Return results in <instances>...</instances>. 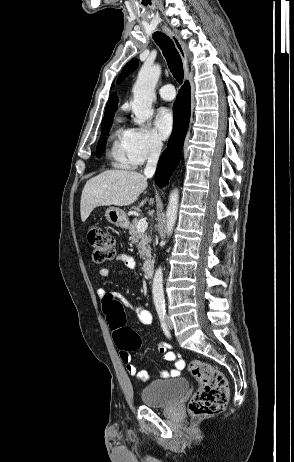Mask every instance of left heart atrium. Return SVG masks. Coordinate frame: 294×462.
Segmentation results:
<instances>
[{
  "label": "left heart atrium",
  "mask_w": 294,
  "mask_h": 462,
  "mask_svg": "<svg viewBox=\"0 0 294 462\" xmlns=\"http://www.w3.org/2000/svg\"><path fill=\"white\" fill-rule=\"evenodd\" d=\"M174 127L173 113L169 109H161L155 119V128L162 139L171 134Z\"/></svg>",
  "instance_id": "39dd6f15"
}]
</instances>
